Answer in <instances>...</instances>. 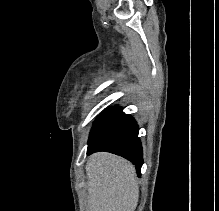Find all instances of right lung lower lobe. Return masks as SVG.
Here are the masks:
<instances>
[{
  "label": "right lung lower lobe",
  "mask_w": 219,
  "mask_h": 211,
  "mask_svg": "<svg viewBox=\"0 0 219 211\" xmlns=\"http://www.w3.org/2000/svg\"><path fill=\"white\" fill-rule=\"evenodd\" d=\"M138 130L136 121L123 113L122 108H110L94 122L88 140L87 154L108 151L120 155L135 165L140 176L143 154Z\"/></svg>",
  "instance_id": "obj_1"
}]
</instances>
